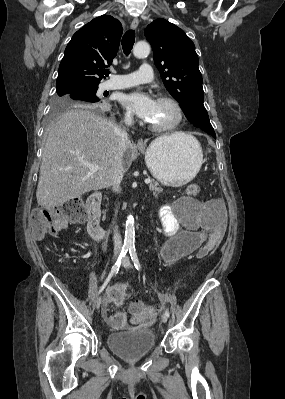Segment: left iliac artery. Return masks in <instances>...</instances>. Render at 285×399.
Here are the masks:
<instances>
[{
	"label": "left iliac artery",
	"instance_id": "1",
	"mask_svg": "<svg viewBox=\"0 0 285 399\" xmlns=\"http://www.w3.org/2000/svg\"><path fill=\"white\" fill-rule=\"evenodd\" d=\"M129 253H130L131 259H132V261H133V263H134L135 268H136L138 271L141 270V265H140V263H139V260H138L137 254H136L135 247H131V248L129 249ZM164 313H165V315H166L167 317L170 316V313H169L168 309H165V312H164Z\"/></svg>",
	"mask_w": 285,
	"mask_h": 399
}]
</instances>
